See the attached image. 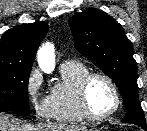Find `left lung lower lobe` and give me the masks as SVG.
<instances>
[{
	"label": "left lung lower lobe",
	"instance_id": "0a47b994",
	"mask_svg": "<svg viewBox=\"0 0 147 131\" xmlns=\"http://www.w3.org/2000/svg\"><path fill=\"white\" fill-rule=\"evenodd\" d=\"M140 127H142L145 131H147V126L146 125H141Z\"/></svg>",
	"mask_w": 147,
	"mask_h": 131
}]
</instances>
